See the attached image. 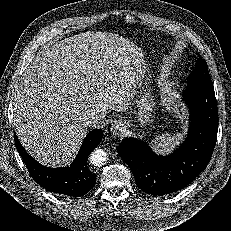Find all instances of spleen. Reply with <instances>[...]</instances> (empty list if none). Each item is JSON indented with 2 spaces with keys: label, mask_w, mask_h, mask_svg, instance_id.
<instances>
[{
  "label": "spleen",
  "mask_w": 231,
  "mask_h": 231,
  "mask_svg": "<svg viewBox=\"0 0 231 231\" xmlns=\"http://www.w3.org/2000/svg\"><path fill=\"white\" fill-rule=\"evenodd\" d=\"M183 140V134L177 132L173 135L168 133L158 135L152 140V146L156 153L168 154Z\"/></svg>",
  "instance_id": "spleen-1"
}]
</instances>
